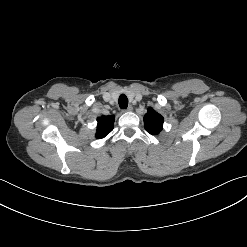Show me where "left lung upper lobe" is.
Here are the masks:
<instances>
[{
  "label": "left lung upper lobe",
  "mask_w": 247,
  "mask_h": 247,
  "mask_svg": "<svg viewBox=\"0 0 247 247\" xmlns=\"http://www.w3.org/2000/svg\"><path fill=\"white\" fill-rule=\"evenodd\" d=\"M163 122L164 118L159 113L154 111L152 108L147 110L144 117V126L148 133L152 135L159 134L163 129Z\"/></svg>",
  "instance_id": "obj_1"
}]
</instances>
